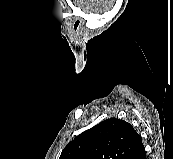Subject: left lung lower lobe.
<instances>
[{
	"label": "left lung lower lobe",
	"instance_id": "obj_1",
	"mask_svg": "<svg viewBox=\"0 0 173 159\" xmlns=\"http://www.w3.org/2000/svg\"><path fill=\"white\" fill-rule=\"evenodd\" d=\"M132 159H146V151L144 146L140 148V150L136 153V155Z\"/></svg>",
	"mask_w": 173,
	"mask_h": 159
}]
</instances>
